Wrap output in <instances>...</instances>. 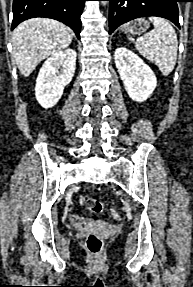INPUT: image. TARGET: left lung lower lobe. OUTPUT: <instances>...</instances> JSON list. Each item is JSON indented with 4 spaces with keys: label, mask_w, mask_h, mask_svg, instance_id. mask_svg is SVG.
<instances>
[{
    "label": "left lung lower lobe",
    "mask_w": 193,
    "mask_h": 287,
    "mask_svg": "<svg viewBox=\"0 0 193 287\" xmlns=\"http://www.w3.org/2000/svg\"><path fill=\"white\" fill-rule=\"evenodd\" d=\"M109 7V33L118 26L139 17L158 16L172 21L180 28L177 2L179 0H106Z\"/></svg>",
    "instance_id": "0a47b994"
}]
</instances>
